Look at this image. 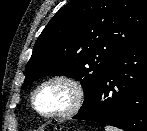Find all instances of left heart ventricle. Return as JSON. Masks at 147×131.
<instances>
[{"instance_id":"1","label":"left heart ventricle","mask_w":147,"mask_h":131,"mask_svg":"<svg viewBox=\"0 0 147 131\" xmlns=\"http://www.w3.org/2000/svg\"><path fill=\"white\" fill-rule=\"evenodd\" d=\"M71 102V90L62 83L48 84L36 95V106L43 113L64 111Z\"/></svg>"}]
</instances>
